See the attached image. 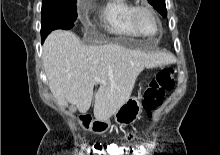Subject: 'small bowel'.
Returning a JSON list of instances; mask_svg holds the SVG:
<instances>
[{"label": "small bowel", "mask_w": 220, "mask_h": 155, "mask_svg": "<svg viewBox=\"0 0 220 155\" xmlns=\"http://www.w3.org/2000/svg\"><path fill=\"white\" fill-rule=\"evenodd\" d=\"M124 140H127V141H134L135 140V137L134 136H131V135H136V130H124ZM108 146H118L116 144H110Z\"/></svg>", "instance_id": "small-bowel-1"}]
</instances>
